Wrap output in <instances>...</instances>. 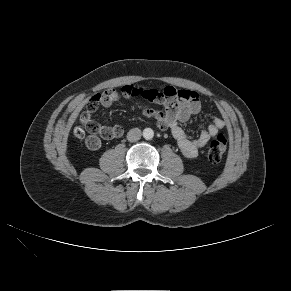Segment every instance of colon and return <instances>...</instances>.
<instances>
[{
    "label": "colon",
    "mask_w": 291,
    "mask_h": 291,
    "mask_svg": "<svg viewBox=\"0 0 291 291\" xmlns=\"http://www.w3.org/2000/svg\"><path fill=\"white\" fill-rule=\"evenodd\" d=\"M151 99L153 94H150ZM102 100L101 95H95L87 103V111L81 116V125L74 128V135L78 138H83L87 133L88 136L86 141L94 144L98 135L106 138L112 139L119 137L121 135V130L118 127H104L99 125L93 120L91 113L97 110L99 103ZM151 102V101H150ZM227 149V139L223 134H219L215 139H213L207 150V157L210 162H219Z\"/></svg>",
    "instance_id": "colon-1"
}]
</instances>
